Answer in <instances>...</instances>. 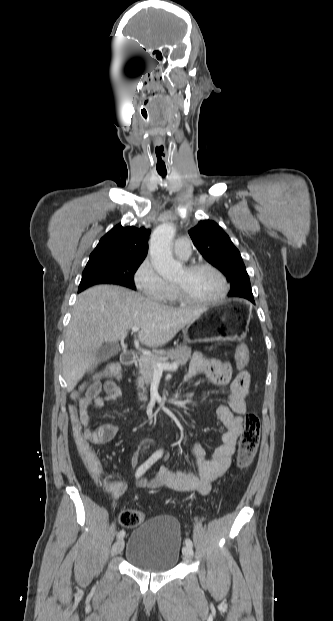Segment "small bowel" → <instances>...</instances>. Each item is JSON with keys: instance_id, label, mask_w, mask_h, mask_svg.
I'll return each mask as SVG.
<instances>
[{"instance_id": "c3829d8e", "label": "small bowel", "mask_w": 333, "mask_h": 621, "mask_svg": "<svg viewBox=\"0 0 333 621\" xmlns=\"http://www.w3.org/2000/svg\"><path fill=\"white\" fill-rule=\"evenodd\" d=\"M199 373H205L216 384L230 382L228 403L220 405L216 410L217 417L224 427L221 443L209 456L199 443L189 444L188 451L195 460L197 474L163 467L156 478L150 482V485L154 487H166L180 492L194 491L206 495L211 491L212 483L229 469L235 455L237 439L243 428V415L247 410L246 398L250 388V375L243 370L231 380V372L225 362L196 353L190 362L186 381L192 380ZM82 391V395L75 394V397L78 400V417L85 438L94 444H102L114 439L119 433V426L107 423L96 429L91 428L89 410L92 404L100 410L107 402L120 399L123 394L122 389L113 380L104 383L93 380L86 384ZM137 462L136 456L131 460L130 466L134 467ZM146 484L144 480L139 482L140 486ZM125 489L126 484L123 482L111 483L113 497L119 496Z\"/></svg>"}]
</instances>
